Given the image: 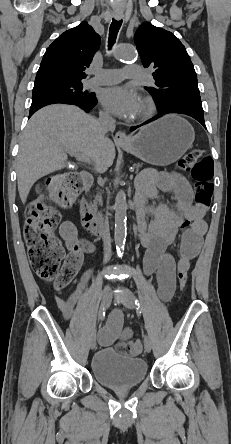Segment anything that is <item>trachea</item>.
Returning <instances> with one entry per match:
<instances>
[{
    "label": "trachea",
    "mask_w": 231,
    "mask_h": 444,
    "mask_svg": "<svg viewBox=\"0 0 231 444\" xmlns=\"http://www.w3.org/2000/svg\"><path fill=\"white\" fill-rule=\"evenodd\" d=\"M122 25V20H112V23L110 25V29H109V45L108 47L111 48L112 45L115 43L118 31L120 29Z\"/></svg>",
    "instance_id": "1"
}]
</instances>
